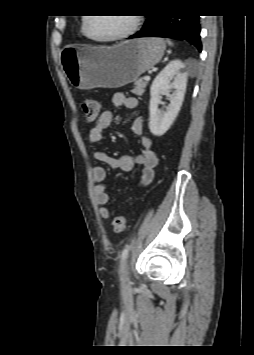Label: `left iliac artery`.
I'll use <instances>...</instances> for the list:
<instances>
[{
	"instance_id": "left-iliac-artery-1",
	"label": "left iliac artery",
	"mask_w": 254,
	"mask_h": 355,
	"mask_svg": "<svg viewBox=\"0 0 254 355\" xmlns=\"http://www.w3.org/2000/svg\"><path fill=\"white\" fill-rule=\"evenodd\" d=\"M129 250H130V246H127L123 249L122 254H121V264H123V262L127 258Z\"/></svg>"
}]
</instances>
